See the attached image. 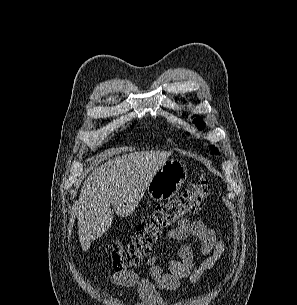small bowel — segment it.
I'll return each mask as SVG.
<instances>
[{"instance_id": "small-bowel-1", "label": "small bowel", "mask_w": 297, "mask_h": 305, "mask_svg": "<svg viewBox=\"0 0 297 305\" xmlns=\"http://www.w3.org/2000/svg\"><path fill=\"white\" fill-rule=\"evenodd\" d=\"M167 235L178 243L177 257L150 258L146 276L130 270L113 274L115 286L137 290L140 299L136 305H164L165 300L159 290H176L184 279L192 285L197 284L225 252V243L199 219H182ZM188 239L193 240V246L186 243ZM196 253L204 255V259L199 266L194 267ZM159 260H163L164 266L158 264Z\"/></svg>"}]
</instances>
